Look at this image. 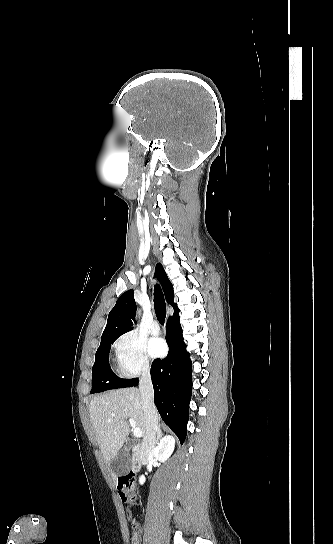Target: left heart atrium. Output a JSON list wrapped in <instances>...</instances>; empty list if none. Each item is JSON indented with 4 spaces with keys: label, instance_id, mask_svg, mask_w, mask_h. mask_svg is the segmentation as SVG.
I'll list each match as a JSON object with an SVG mask.
<instances>
[{
    "label": "left heart atrium",
    "instance_id": "39dd6f15",
    "mask_svg": "<svg viewBox=\"0 0 333 544\" xmlns=\"http://www.w3.org/2000/svg\"><path fill=\"white\" fill-rule=\"evenodd\" d=\"M148 351L152 357H161L166 352V344L161 338H152L148 342Z\"/></svg>",
    "mask_w": 333,
    "mask_h": 544
}]
</instances>
